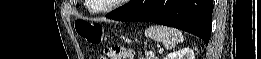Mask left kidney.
Here are the masks:
<instances>
[{
	"instance_id": "1",
	"label": "left kidney",
	"mask_w": 261,
	"mask_h": 59,
	"mask_svg": "<svg viewBox=\"0 0 261 59\" xmlns=\"http://www.w3.org/2000/svg\"><path fill=\"white\" fill-rule=\"evenodd\" d=\"M164 59H194V52L190 48L169 53Z\"/></svg>"
}]
</instances>
